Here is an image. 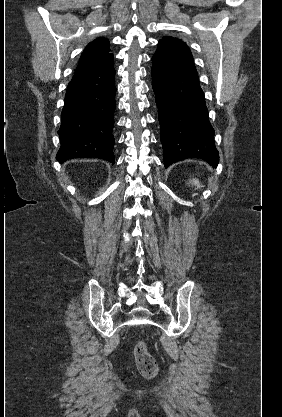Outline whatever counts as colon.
Segmentation results:
<instances>
[{
  "label": "colon",
  "mask_w": 282,
  "mask_h": 417,
  "mask_svg": "<svg viewBox=\"0 0 282 417\" xmlns=\"http://www.w3.org/2000/svg\"><path fill=\"white\" fill-rule=\"evenodd\" d=\"M134 348L136 352L133 355L138 371L145 377H154L158 371V364L148 352L146 343L143 340H138Z\"/></svg>",
  "instance_id": "colon-1"
}]
</instances>
